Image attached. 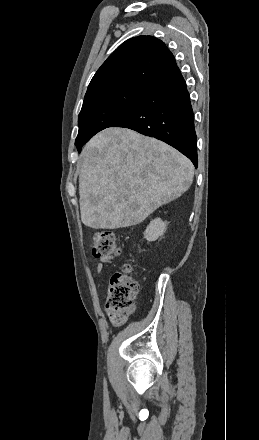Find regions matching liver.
<instances>
[{
  "label": "liver",
  "instance_id": "6515ba94",
  "mask_svg": "<svg viewBox=\"0 0 259 440\" xmlns=\"http://www.w3.org/2000/svg\"><path fill=\"white\" fill-rule=\"evenodd\" d=\"M81 220L93 229L144 221L185 193L191 161L173 147L126 128H107L83 148L79 163Z\"/></svg>",
  "mask_w": 259,
  "mask_h": 440
}]
</instances>
